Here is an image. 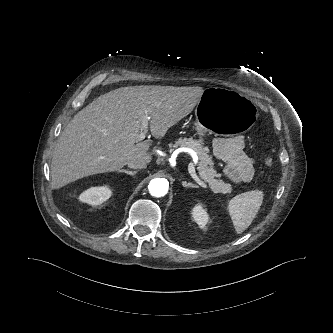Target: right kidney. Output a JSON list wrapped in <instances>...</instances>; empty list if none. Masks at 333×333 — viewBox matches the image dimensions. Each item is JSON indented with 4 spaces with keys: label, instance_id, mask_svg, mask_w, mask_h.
<instances>
[{
    "label": "right kidney",
    "instance_id": "right-kidney-1",
    "mask_svg": "<svg viewBox=\"0 0 333 333\" xmlns=\"http://www.w3.org/2000/svg\"><path fill=\"white\" fill-rule=\"evenodd\" d=\"M111 190L107 186L91 187L84 191L79 199L90 205H100L111 197Z\"/></svg>",
    "mask_w": 333,
    "mask_h": 333
}]
</instances>
